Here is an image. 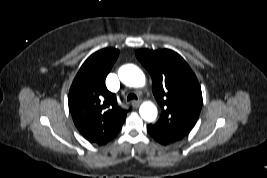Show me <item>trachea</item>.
<instances>
[{"mask_svg":"<svg viewBox=\"0 0 267 178\" xmlns=\"http://www.w3.org/2000/svg\"><path fill=\"white\" fill-rule=\"evenodd\" d=\"M137 100V96L134 93H130L127 96V101Z\"/></svg>","mask_w":267,"mask_h":178,"instance_id":"trachea-1","label":"trachea"}]
</instances>
